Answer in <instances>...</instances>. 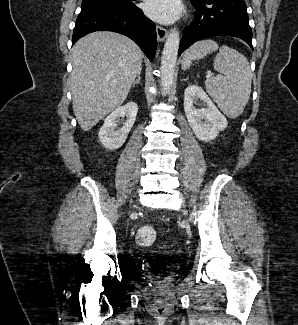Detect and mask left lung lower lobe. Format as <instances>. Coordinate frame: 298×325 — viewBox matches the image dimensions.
Listing matches in <instances>:
<instances>
[{
  "label": "left lung lower lobe",
  "instance_id": "1",
  "mask_svg": "<svg viewBox=\"0 0 298 325\" xmlns=\"http://www.w3.org/2000/svg\"><path fill=\"white\" fill-rule=\"evenodd\" d=\"M197 11L180 41V55L196 41L213 36L241 38L252 48V31L244 0H201L192 2Z\"/></svg>",
  "mask_w": 298,
  "mask_h": 325
}]
</instances>
